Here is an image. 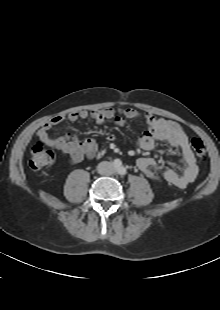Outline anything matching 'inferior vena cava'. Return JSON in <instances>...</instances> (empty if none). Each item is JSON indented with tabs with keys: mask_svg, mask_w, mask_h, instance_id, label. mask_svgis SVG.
Returning a JSON list of instances; mask_svg holds the SVG:
<instances>
[{
	"mask_svg": "<svg viewBox=\"0 0 220 310\" xmlns=\"http://www.w3.org/2000/svg\"><path fill=\"white\" fill-rule=\"evenodd\" d=\"M97 171L101 175H111L113 173V165L108 161H102L98 164Z\"/></svg>",
	"mask_w": 220,
	"mask_h": 310,
	"instance_id": "1",
	"label": "inferior vena cava"
}]
</instances>
